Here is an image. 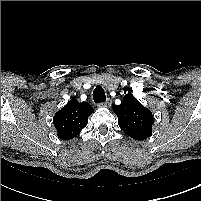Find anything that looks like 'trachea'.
Masks as SVG:
<instances>
[{
	"label": "trachea",
	"mask_w": 201,
	"mask_h": 201,
	"mask_svg": "<svg viewBox=\"0 0 201 201\" xmlns=\"http://www.w3.org/2000/svg\"><path fill=\"white\" fill-rule=\"evenodd\" d=\"M93 100L95 103H101L106 100L105 91L102 86L98 85L93 91Z\"/></svg>",
	"instance_id": "1"
}]
</instances>
